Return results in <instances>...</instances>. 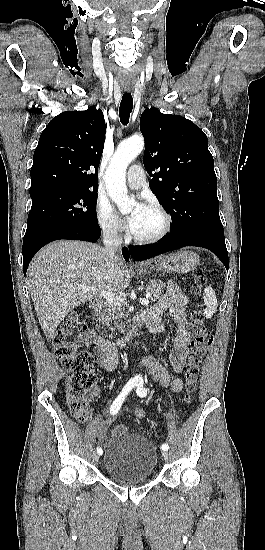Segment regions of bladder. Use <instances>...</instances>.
I'll return each instance as SVG.
<instances>
[{"mask_svg": "<svg viewBox=\"0 0 265 550\" xmlns=\"http://www.w3.org/2000/svg\"><path fill=\"white\" fill-rule=\"evenodd\" d=\"M103 469L107 476L124 484H138L151 478L157 464V452L142 435L112 437L104 445Z\"/></svg>", "mask_w": 265, "mask_h": 550, "instance_id": "obj_1", "label": "bladder"}]
</instances>
